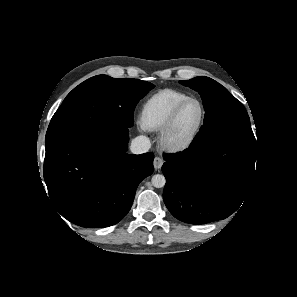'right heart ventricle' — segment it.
<instances>
[{
    "label": "right heart ventricle",
    "mask_w": 297,
    "mask_h": 297,
    "mask_svg": "<svg viewBox=\"0 0 297 297\" xmlns=\"http://www.w3.org/2000/svg\"><path fill=\"white\" fill-rule=\"evenodd\" d=\"M187 98V94L173 89L158 91L144 102L140 112L141 125L149 130L161 129L175 107Z\"/></svg>",
    "instance_id": "1"
}]
</instances>
